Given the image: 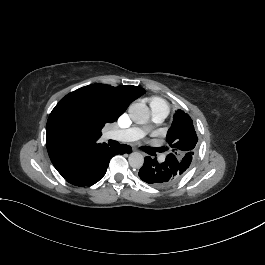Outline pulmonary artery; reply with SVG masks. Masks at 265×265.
Masks as SVG:
<instances>
[{"label":"pulmonary artery","instance_id":"e3ab8cb5","mask_svg":"<svg viewBox=\"0 0 265 265\" xmlns=\"http://www.w3.org/2000/svg\"><path fill=\"white\" fill-rule=\"evenodd\" d=\"M170 109H171V106H170V103L169 102H162L158 105H155L152 107V114L154 115V121L155 122H162L163 121V118H168L169 117V112H170ZM143 130L142 129H139V128H136V129H114L113 130V133H112V136H113V139L114 140H117V141H129V140H134L135 138L139 139V138H142L143 137Z\"/></svg>","mask_w":265,"mask_h":265}]
</instances>
